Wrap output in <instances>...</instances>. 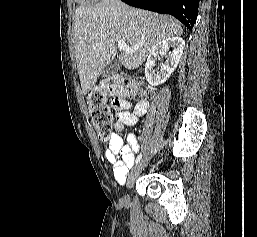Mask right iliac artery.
Wrapping results in <instances>:
<instances>
[{"label":"right iliac artery","mask_w":257,"mask_h":237,"mask_svg":"<svg viewBox=\"0 0 257 237\" xmlns=\"http://www.w3.org/2000/svg\"><path fill=\"white\" fill-rule=\"evenodd\" d=\"M142 158V154L138 155V157L136 158V164L141 160Z\"/></svg>","instance_id":"1"}]
</instances>
